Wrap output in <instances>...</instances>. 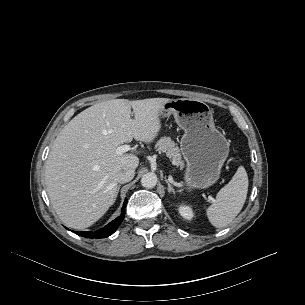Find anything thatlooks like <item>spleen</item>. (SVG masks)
Wrapping results in <instances>:
<instances>
[{
  "label": "spleen",
  "mask_w": 305,
  "mask_h": 305,
  "mask_svg": "<svg viewBox=\"0 0 305 305\" xmlns=\"http://www.w3.org/2000/svg\"><path fill=\"white\" fill-rule=\"evenodd\" d=\"M248 184L246 170L240 166L230 182L217 193L214 203L206 210L213 226L225 227L240 213L246 201Z\"/></svg>",
  "instance_id": "1"
}]
</instances>
